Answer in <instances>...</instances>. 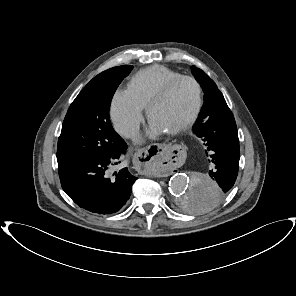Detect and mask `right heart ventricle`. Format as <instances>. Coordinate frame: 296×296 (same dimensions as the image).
<instances>
[{
    "label": "right heart ventricle",
    "mask_w": 296,
    "mask_h": 296,
    "mask_svg": "<svg viewBox=\"0 0 296 296\" xmlns=\"http://www.w3.org/2000/svg\"><path fill=\"white\" fill-rule=\"evenodd\" d=\"M182 76L170 68L153 65L138 71L127 84V92L143 108L169 82Z\"/></svg>",
    "instance_id": "e07e8e85"
}]
</instances>
